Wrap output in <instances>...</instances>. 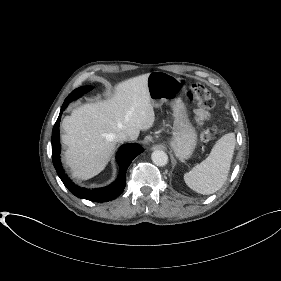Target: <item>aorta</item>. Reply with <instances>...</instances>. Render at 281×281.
Returning a JSON list of instances; mask_svg holds the SVG:
<instances>
[{
	"instance_id": "762f6f07",
	"label": "aorta",
	"mask_w": 281,
	"mask_h": 281,
	"mask_svg": "<svg viewBox=\"0 0 281 281\" xmlns=\"http://www.w3.org/2000/svg\"><path fill=\"white\" fill-rule=\"evenodd\" d=\"M151 158L153 163L157 166H165L168 163V155L161 150H155Z\"/></svg>"
}]
</instances>
